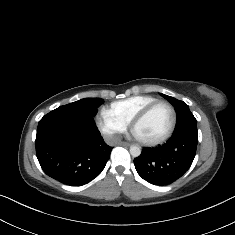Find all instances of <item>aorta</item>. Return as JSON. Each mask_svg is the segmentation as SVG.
<instances>
[{
  "label": "aorta",
  "instance_id": "762f6f07",
  "mask_svg": "<svg viewBox=\"0 0 235 235\" xmlns=\"http://www.w3.org/2000/svg\"><path fill=\"white\" fill-rule=\"evenodd\" d=\"M130 154L133 157H138L141 154V148L135 145L130 146Z\"/></svg>",
  "mask_w": 235,
  "mask_h": 235
}]
</instances>
